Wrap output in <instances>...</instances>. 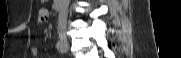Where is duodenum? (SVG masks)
Instances as JSON below:
<instances>
[{
  "label": "duodenum",
  "instance_id": "1",
  "mask_svg": "<svg viewBox=\"0 0 181 58\" xmlns=\"http://www.w3.org/2000/svg\"><path fill=\"white\" fill-rule=\"evenodd\" d=\"M64 0H54V7L57 11H61L63 7Z\"/></svg>",
  "mask_w": 181,
  "mask_h": 58
}]
</instances>
